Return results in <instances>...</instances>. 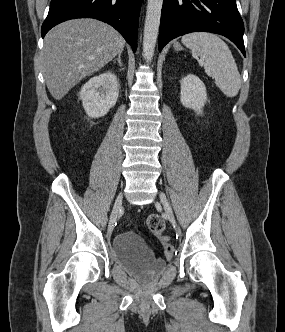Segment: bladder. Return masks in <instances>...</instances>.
Wrapping results in <instances>:
<instances>
[{
	"instance_id": "bladder-1",
	"label": "bladder",
	"mask_w": 285,
	"mask_h": 332,
	"mask_svg": "<svg viewBox=\"0 0 285 332\" xmlns=\"http://www.w3.org/2000/svg\"><path fill=\"white\" fill-rule=\"evenodd\" d=\"M111 253L119 266L143 281L156 277L166 268V263L158 259L133 232L116 235L112 241Z\"/></svg>"
}]
</instances>
